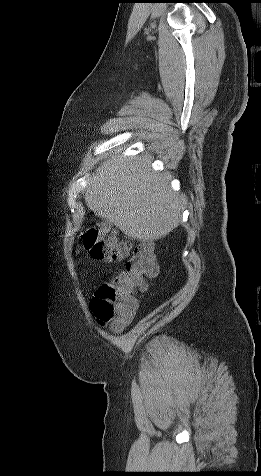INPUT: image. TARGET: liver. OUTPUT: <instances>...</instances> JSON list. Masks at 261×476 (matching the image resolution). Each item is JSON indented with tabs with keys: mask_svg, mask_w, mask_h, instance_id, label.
Listing matches in <instances>:
<instances>
[{
	"mask_svg": "<svg viewBox=\"0 0 261 476\" xmlns=\"http://www.w3.org/2000/svg\"><path fill=\"white\" fill-rule=\"evenodd\" d=\"M149 155L118 159L112 155L88 182L87 206L126 236L153 241L180 223L185 200L170 189L169 173L151 172Z\"/></svg>",
	"mask_w": 261,
	"mask_h": 476,
	"instance_id": "1",
	"label": "liver"
}]
</instances>
